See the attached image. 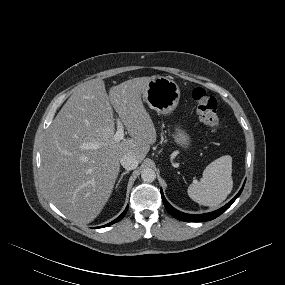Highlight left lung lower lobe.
<instances>
[{"instance_id":"0a47b994","label":"left lung lower lobe","mask_w":285,"mask_h":285,"mask_svg":"<svg viewBox=\"0 0 285 285\" xmlns=\"http://www.w3.org/2000/svg\"><path fill=\"white\" fill-rule=\"evenodd\" d=\"M244 185H245V183L243 184V186L240 189V191L238 192V194L229 203H227L225 206L221 207L220 209H218L216 211H213L210 213H205V214H199V215L186 214V213L180 212V211L176 210L175 208H173L165 199L163 192H162V189H161V196H162V200H163V203H164L167 211L172 216L177 218L178 220L187 221V222H203V221L213 220L216 217H218L219 215H221L225 210H227L233 204V202L239 197V195L241 194V192L244 188Z\"/></svg>"}]
</instances>
